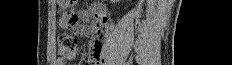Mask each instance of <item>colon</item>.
<instances>
[{"instance_id": "1", "label": "colon", "mask_w": 232, "mask_h": 65, "mask_svg": "<svg viewBox=\"0 0 232 65\" xmlns=\"http://www.w3.org/2000/svg\"><path fill=\"white\" fill-rule=\"evenodd\" d=\"M76 46H77V39L73 35L67 32H63L59 35L58 52L61 56L74 51Z\"/></svg>"}]
</instances>
